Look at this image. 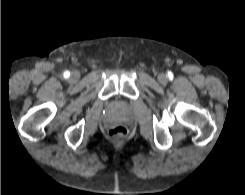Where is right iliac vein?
Here are the masks:
<instances>
[{"instance_id":"obj_1","label":"right iliac vein","mask_w":245,"mask_h":195,"mask_svg":"<svg viewBox=\"0 0 245 195\" xmlns=\"http://www.w3.org/2000/svg\"><path fill=\"white\" fill-rule=\"evenodd\" d=\"M79 79V73L78 72H72L70 76V80L72 82H76Z\"/></svg>"}]
</instances>
